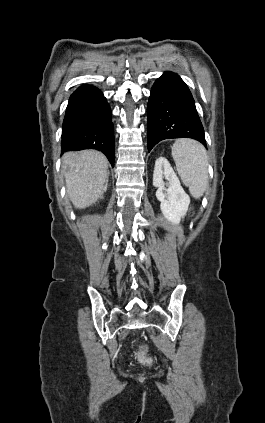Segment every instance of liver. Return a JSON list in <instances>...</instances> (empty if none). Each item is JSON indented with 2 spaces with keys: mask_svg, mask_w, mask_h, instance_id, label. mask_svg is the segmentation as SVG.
<instances>
[{
  "mask_svg": "<svg viewBox=\"0 0 265 423\" xmlns=\"http://www.w3.org/2000/svg\"><path fill=\"white\" fill-rule=\"evenodd\" d=\"M67 193L73 205L86 208L107 190L108 160L96 150L68 152L62 157Z\"/></svg>",
  "mask_w": 265,
  "mask_h": 423,
  "instance_id": "liver-1",
  "label": "liver"
}]
</instances>
